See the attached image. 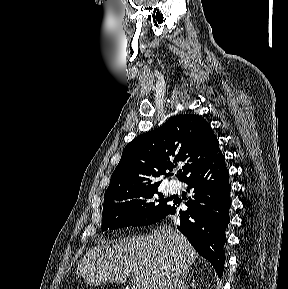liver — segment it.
I'll list each match as a JSON object with an SVG mask.
<instances>
[{"mask_svg": "<svg viewBox=\"0 0 288 289\" xmlns=\"http://www.w3.org/2000/svg\"><path fill=\"white\" fill-rule=\"evenodd\" d=\"M197 257L178 230L163 226L145 237L99 242L87 251L76 271L91 286L121 284L132 277L139 289H160L167 270L188 271Z\"/></svg>", "mask_w": 288, "mask_h": 289, "instance_id": "1", "label": "liver"}]
</instances>
